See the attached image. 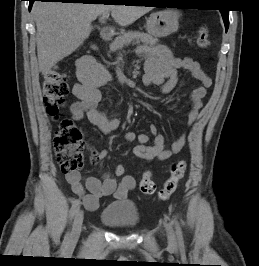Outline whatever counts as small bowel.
I'll use <instances>...</instances> for the list:
<instances>
[{"label": "small bowel", "instance_id": "obj_1", "mask_svg": "<svg viewBox=\"0 0 259 266\" xmlns=\"http://www.w3.org/2000/svg\"><path fill=\"white\" fill-rule=\"evenodd\" d=\"M145 55L143 83L146 86L158 87L163 94L171 93L179 84V70L190 73L198 87L189 94L190 110L188 124H193L199 116L203 106V98L207 89L212 85V79L205 73L201 64L190 57H176L167 47L158 45L151 50L143 51ZM79 83L73 87V94L78 98L70 107L71 118L80 121L85 117L102 132L109 134L120 125V121L111 118L108 114L98 109L101 100L100 88L110 81V74L91 57H82L77 66ZM152 144L146 134H137L128 131L125 138L129 142L136 141L133 153L146 162L154 160H168L179 153L186 145V133L180 132L170 148L166 147L165 137L158 132L155 125L150 126ZM88 151L93 161H99L107 156L106 150L97 149L88 145ZM66 180L72 191L82 199L84 206L96 210L100 198L113 195L116 199L123 200L129 191L135 187V180L130 176L123 177L119 182L108 172L101 179L88 176L82 178L79 173L67 174Z\"/></svg>", "mask_w": 259, "mask_h": 266}]
</instances>
